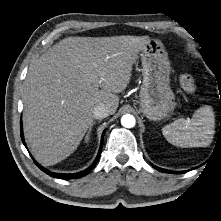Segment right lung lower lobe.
<instances>
[{"instance_id":"right-lung-lower-lobe-1","label":"right lung lower lobe","mask_w":221,"mask_h":221,"mask_svg":"<svg viewBox=\"0 0 221 221\" xmlns=\"http://www.w3.org/2000/svg\"><path fill=\"white\" fill-rule=\"evenodd\" d=\"M20 133H21V139H22V142L23 144L25 145V141H24V137H23V131H22V123H20ZM103 138H104V133H103V136H102V140H101V145H100V149H99V153L95 159V161L93 162V164L87 168L86 170L82 171V172H78V173H74V174H62V173H53V172H50L48 171L47 169L43 168L42 166H40L38 163H36V165L42 170L44 171L46 174L54 177V178H59V179H75V178H80V177H83L85 175H87L92 169L93 167L96 165L98 159H99V156L102 152V144H103ZM26 147V145H25Z\"/></svg>"}]
</instances>
